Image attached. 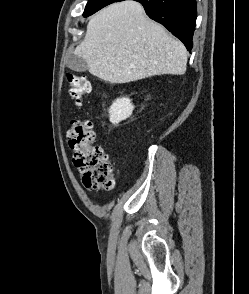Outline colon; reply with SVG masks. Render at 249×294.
I'll return each instance as SVG.
<instances>
[{
    "label": "colon",
    "mask_w": 249,
    "mask_h": 294,
    "mask_svg": "<svg viewBox=\"0 0 249 294\" xmlns=\"http://www.w3.org/2000/svg\"><path fill=\"white\" fill-rule=\"evenodd\" d=\"M66 79L71 97L78 106H82L92 89L90 81L73 73H67ZM67 138L74 151V165L82 174L84 185L92 189L112 190L115 185L114 167L104 150L94 144L91 121L83 116L74 117Z\"/></svg>",
    "instance_id": "obj_1"
}]
</instances>
